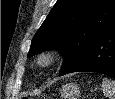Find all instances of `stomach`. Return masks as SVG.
I'll use <instances>...</instances> for the list:
<instances>
[{
  "label": "stomach",
  "instance_id": "stomach-1",
  "mask_svg": "<svg viewBox=\"0 0 115 99\" xmlns=\"http://www.w3.org/2000/svg\"><path fill=\"white\" fill-rule=\"evenodd\" d=\"M62 99H78L80 96V88L76 83H68L60 89Z\"/></svg>",
  "mask_w": 115,
  "mask_h": 99
}]
</instances>
